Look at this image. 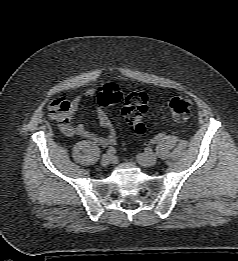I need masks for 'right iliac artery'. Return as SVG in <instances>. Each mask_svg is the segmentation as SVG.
<instances>
[{"label": "right iliac artery", "mask_w": 238, "mask_h": 261, "mask_svg": "<svg viewBox=\"0 0 238 261\" xmlns=\"http://www.w3.org/2000/svg\"><path fill=\"white\" fill-rule=\"evenodd\" d=\"M107 152H108V154L113 155V154L116 153V150H115V148H113V147H109V148L107 149Z\"/></svg>", "instance_id": "obj_1"}]
</instances>
